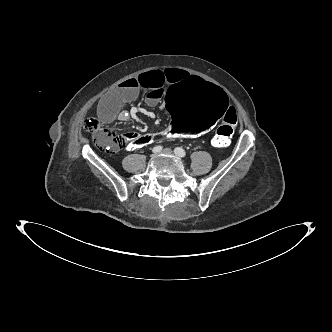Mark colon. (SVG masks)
Segmentation results:
<instances>
[{"instance_id": "5ec220e1", "label": "colon", "mask_w": 332, "mask_h": 332, "mask_svg": "<svg viewBox=\"0 0 332 332\" xmlns=\"http://www.w3.org/2000/svg\"><path fill=\"white\" fill-rule=\"evenodd\" d=\"M163 111L170 127L156 134L128 131L120 140L96 118L87 119L84 128L99 148L117 153L122 146L134 150L139 146H154L159 139L199 136L220 123L212 142L216 147H225L229 145L237 123V114L231 109L227 91L217 83L201 78H190L172 87L164 97Z\"/></svg>"}]
</instances>
